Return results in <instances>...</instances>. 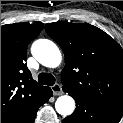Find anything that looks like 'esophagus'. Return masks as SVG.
<instances>
[{
    "mask_svg": "<svg viewBox=\"0 0 123 123\" xmlns=\"http://www.w3.org/2000/svg\"><path fill=\"white\" fill-rule=\"evenodd\" d=\"M52 92L55 96H58V95H61L63 92H62V87L60 84L56 83L54 84L52 87Z\"/></svg>",
    "mask_w": 123,
    "mask_h": 123,
    "instance_id": "34e87169",
    "label": "esophagus"
}]
</instances>
